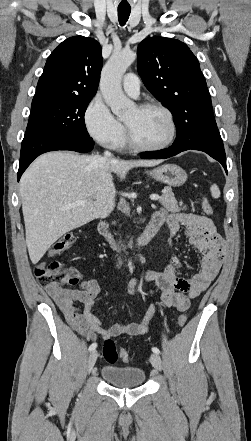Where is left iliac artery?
<instances>
[{
    "label": "left iliac artery",
    "mask_w": 251,
    "mask_h": 441,
    "mask_svg": "<svg viewBox=\"0 0 251 441\" xmlns=\"http://www.w3.org/2000/svg\"><path fill=\"white\" fill-rule=\"evenodd\" d=\"M153 353L160 354V350L157 347L152 348Z\"/></svg>",
    "instance_id": "left-iliac-artery-1"
}]
</instances>
